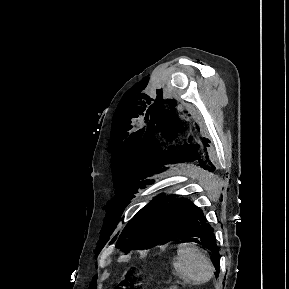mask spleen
Returning a JSON list of instances; mask_svg holds the SVG:
<instances>
[{"mask_svg": "<svg viewBox=\"0 0 289 289\" xmlns=\"http://www.w3.org/2000/svg\"><path fill=\"white\" fill-rule=\"evenodd\" d=\"M173 268L176 276L193 285L205 284L214 275L211 260L198 247L186 243L179 244Z\"/></svg>", "mask_w": 289, "mask_h": 289, "instance_id": "3e777b00", "label": "spleen"}]
</instances>
